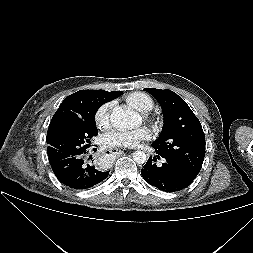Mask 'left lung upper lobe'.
Masks as SVG:
<instances>
[{
  "instance_id": "left-lung-upper-lobe-1",
  "label": "left lung upper lobe",
  "mask_w": 253,
  "mask_h": 253,
  "mask_svg": "<svg viewBox=\"0 0 253 253\" xmlns=\"http://www.w3.org/2000/svg\"><path fill=\"white\" fill-rule=\"evenodd\" d=\"M163 110L164 126L152 143L156 153L198 175L205 157V135L187 103L171 90L145 88Z\"/></svg>"
}]
</instances>
